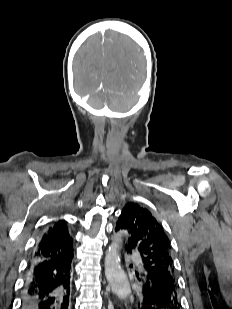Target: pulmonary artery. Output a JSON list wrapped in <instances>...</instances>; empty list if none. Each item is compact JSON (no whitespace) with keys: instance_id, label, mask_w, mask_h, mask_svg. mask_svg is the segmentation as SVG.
<instances>
[{"instance_id":"obj_1","label":"pulmonary artery","mask_w":232,"mask_h":309,"mask_svg":"<svg viewBox=\"0 0 232 309\" xmlns=\"http://www.w3.org/2000/svg\"><path fill=\"white\" fill-rule=\"evenodd\" d=\"M133 258H135L137 261H139V256L137 254H134Z\"/></svg>"}]
</instances>
